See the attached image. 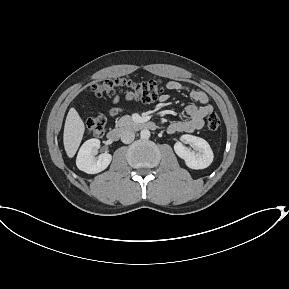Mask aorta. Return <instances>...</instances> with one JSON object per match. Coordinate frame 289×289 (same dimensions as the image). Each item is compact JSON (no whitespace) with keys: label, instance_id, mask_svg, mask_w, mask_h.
<instances>
[{"label":"aorta","instance_id":"1","mask_svg":"<svg viewBox=\"0 0 289 289\" xmlns=\"http://www.w3.org/2000/svg\"><path fill=\"white\" fill-rule=\"evenodd\" d=\"M140 136L143 139H148L150 137V131L148 129H143L140 132Z\"/></svg>","mask_w":289,"mask_h":289}]
</instances>
